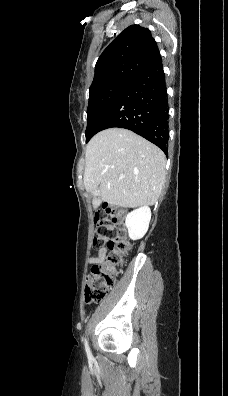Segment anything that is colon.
<instances>
[{"label": "colon", "instance_id": "obj_1", "mask_svg": "<svg viewBox=\"0 0 228 396\" xmlns=\"http://www.w3.org/2000/svg\"><path fill=\"white\" fill-rule=\"evenodd\" d=\"M95 246H105L103 260L92 266L86 279L85 302H100L116 282L124 255L129 249L120 212L108 204L95 214Z\"/></svg>", "mask_w": 228, "mask_h": 396}]
</instances>
